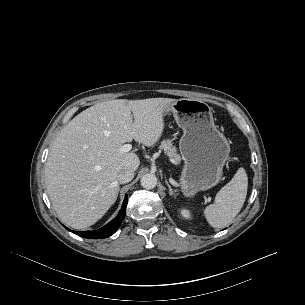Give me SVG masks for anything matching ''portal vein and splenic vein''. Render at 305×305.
<instances>
[{"label":"portal vein and splenic vein","mask_w":305,"mask_h":305,"mask_svg":"<svg viewBox=\"0 0 305 305\" xmlns=\"http://www.w3.org/2000/svg\"><path fill=\"white\" fill-rule=\"evenodd\" d=\"M131 149H132L131 144H125L120 148L121 152H129ZM208 201H210V199H208Z\"/></svg>","instance_id":"portal-vein-and-splenic-vein-1"}]
</instances>
